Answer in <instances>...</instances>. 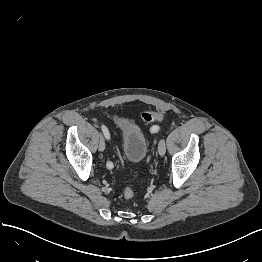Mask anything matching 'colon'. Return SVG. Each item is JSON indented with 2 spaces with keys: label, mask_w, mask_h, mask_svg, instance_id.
Returning a JSON list of instances; mask_svg holds the SVG:
<instances>
[{
  "label": "colon",
  "mask_w": 262,
  "mask_h": 262,
  "mask_svg": "<svg viewBox=\"0 0 262 262\" xmlns=\"http://www.w3.org/2000/svg\"><path fill=\"white\" fill-rule=\"evenodd\" d=\"M162 114L157 111H147L142 114V119L145 123H152L154 121H157L161 119ZM135 195L134 190L131 187H127L124 190V197L126 199H132Z\"/></svg>",
  "instance_id": "colon-1"
}]
</instances>
